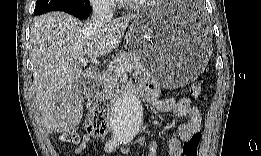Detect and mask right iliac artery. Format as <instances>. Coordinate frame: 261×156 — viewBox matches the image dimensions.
Returning a JSON list of instances; mask_svg holds the SVG:
<instances>
[{
    "label": "right iliac artery",
    "mask_w": 261,
    "mask_h": 156,
    "mask_svg": "<svg viewBox=\"0 0 261 156\" xmlns=\"http://www.w3.org/2000/svg\"><path fill=\"white\" fill-rule=\"evenodd\" d=\"M121 141L119 139H112L109 143H106V150L111 152L114 148H116Z\"/></svg>",
    "instance_id": "1"
}]
</instances>
